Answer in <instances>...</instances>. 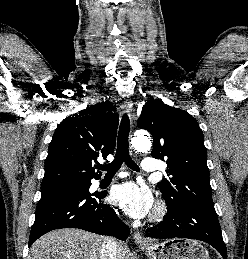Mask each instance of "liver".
Returning <instances> with one entry per match:
<instances>
[{
  "label": "liver",
  "instance_id": "6515ba94",
  "mask_svg": "<svg viewBox=\"0 0 248 259\" xmlns=\"http://www.w3.org/2000/svg\"><path fill=\"white\" fill-rule=\"evenodd\" d=\"M105 237L75 228L53 230L34 242L27 259H101ZM118 259L127 246L119 242Z\"/></svg>",
  "mask_w": 248,
  "mask_h": 259
}]
</instances>
